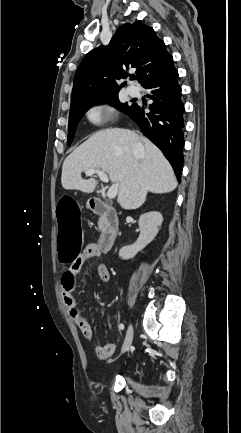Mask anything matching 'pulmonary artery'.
I'll list each match as a JSON object with an SVG mask.
<instances>
[{
	"mask_svg": "<svg viewBox=\"0 0 241 433\" xmlns=\"http://www.w3.org/2000/svg\"><path fill=\"white\" fill-rule=\"evenodd\" d=\"M127 91L131 96H138L139 95V89L137 87L130 86L127 88Z\"/></svg>",
	"mask_w": 241,
	"mask_h": 433,
	"instance_id": "e3ab8cb5",
	"label": "pulmonary artery"
}]
</instances>
